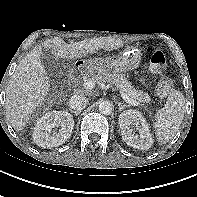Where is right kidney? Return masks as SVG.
Returning <instances> with one entry per match:
<instances>
[{"mask_svg":"<svg viewBox=\"0 0 197 197\" xmlns=\"http://www.w3.org/2000/svg\"><path fill=\"white\" fill-rule=\"evenodd\" d=\"M60 127L59 130L53 128ZM74 127L72 115L67 111H51L36 123L33 132L34 142L43 148L57 147L71 136Z\"/></svg>","mask_w":197,"mask_h":197,"instance_id":"right-kidney-1","label":"right kidney"}]
</instances>
